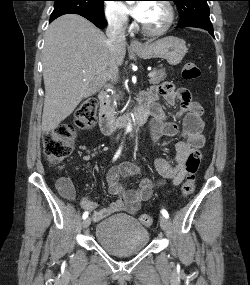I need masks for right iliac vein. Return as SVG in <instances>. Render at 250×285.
Segmentation results:
<instances>
[{
    "label": "right iliac vein",
    "instance_id": "obj_1",
    "mask_svg": "<svg viewBox=\"0 0 250 285\" xmlns=\"http://www.w3.org/2000/svg\"><path fill=\"white\" fill-rule=\"evenodd\" d=\"M91 224V219L90 218H86L83 223H82V227L83 228H87L89 227V225Z\"/></svg>",
    "mask_w": 250,
    "mask_h": 285
}]
</instances>
